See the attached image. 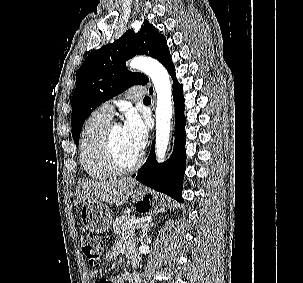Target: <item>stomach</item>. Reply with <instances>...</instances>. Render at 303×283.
I'll return each mask as SVG.
<instances>
[{
	"instance_id": "0dacf381",
	"label": "stomach",
	"mask_w": 303,
	"mask_h": 283,
	"mask_svg": "<svg viewBox=\"0 0 303 283\" xmlns=\"http://www.w3.org/2000/svg\"><path fill=\"white\" fill-rule=\"evenodd\" d=\"M132 196L135 199V208L140 212L158 213L167 206L162 196L147 189H134ZM80 221L85 230L104 233L112 224V213L102 202L86 201L80 208Z\"/></svg>"
}]
</instances>
